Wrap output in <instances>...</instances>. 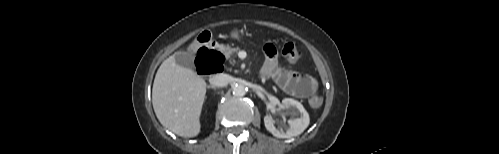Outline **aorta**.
Listing matches in <instances>:
<instances>
[{
    "mask_svg": "<svg viewBox=\"0 0 499 154\" xmlns=\"http://www.w3.org/2000/svg\"><path fill=\"white\" fill-rule=\"evenodd\" d=\"M246 87L242 84L235 85L232 89L233 95L236 97H242L246 94Z\"/></svg>",
    "mask_w": 499,
    "mask_h": 154,
    "instance_id": "762f6f07",
    "label": "aorta"
}]
</instances>
